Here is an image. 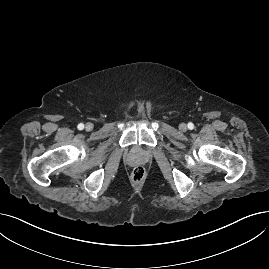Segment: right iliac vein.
Returning <instances> with one entry per match:
<instances>
[{
  "mask_svg": "<svg viewBox=\"0 0 269 269\" xmlns=\"http://www.w3.org/2000/svg\"><path fill=\"white\" fill-rule=\"evenodd\" d=\"M93 129V124L88 122L86 125H85V130L86 131H91Z\"/></svg>",
  "mask_w": 269,
  "mask_h": 269,
  "instance_id": "right-iliac-vein-1",
  "label": "right iliac vein"
}]
</instances>
